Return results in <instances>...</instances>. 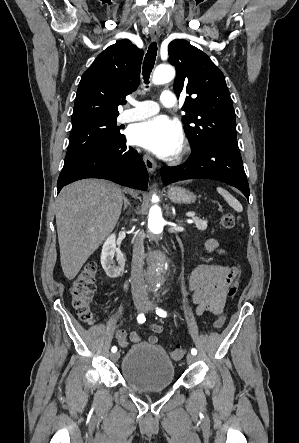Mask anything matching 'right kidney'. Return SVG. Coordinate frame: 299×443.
Listing matches in <instances>:
<instances>
[{
    "label": "right kidney",
    "instance_id": "obj_1",
    "mask_svg": "<svg viewBox=\"0 0 299 443\" xmlns=\"http://www.w3.org/2000/svg\"><path fill=\"white\" fill-rule=\"evenodd\" d=\"M118 262V266L115 265V260ZM101 265L110 278L119 277L125 266V258L119 248L116 247V236L111 234L103 244L101 252Z\"/></svg>",
    "mask_w": 299,
    "mask_h": 443
}]
</instances>
